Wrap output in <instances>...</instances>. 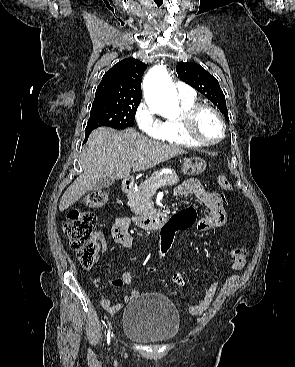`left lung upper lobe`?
Segmentation results:
<instances>
[{"label":"left lung upper lobe","mask_w":295,"mask_h":367,"mask_svg":"<svg viewBox=\"0 0 295 367\" xmlns=\"http://www.w3.org/2000/svg\"><path fill=\"white\" fill-rule=\"evenodd\" d=\"M176 71L185 83L205 95L216 105L228 120L225 96L214 76L194 62H179Z\"/></svg>","instance_id":"obj_1"}]
</instances>
